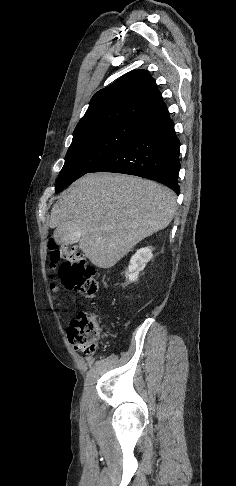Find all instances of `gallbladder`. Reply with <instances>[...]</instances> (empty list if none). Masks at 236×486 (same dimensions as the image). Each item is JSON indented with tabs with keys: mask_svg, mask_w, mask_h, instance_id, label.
<instances>
[{
	"mask_svg": "<svg viewBox=\"0 0 236 486\" xmlns=\"http://www.w3.org/2000/svg\"><path fill=\"white\" fill-rule=\"evenodd\" d=\"M78 232V227L74 223L65 226L60 225L54 233L55 242L59 245L72 244L75 242Z\"/></svg>",
	"mask_w": 236,
	"mask_h": 486,
	"instance_id": "gallbladder-1",
	"label": "gallbladder"
}]
</instances>
